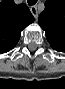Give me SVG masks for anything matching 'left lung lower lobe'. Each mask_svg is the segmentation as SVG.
<instances>
[{
  "instance_id": "left-lung-lower-lobe-1",
  "label": "left lung lower lobe",
  "mask_w": 65,
  "mask_h": 89,
  "mask_svg": "<svg viewBox=\"0 0 65 89\" xmlns=\"http://www.w3.org/2000/svg\"><path fill=\"white\" fill-rule=\"evenodd\" d=\"M57 51H59V52H65V51H61V50H57Z\"/></svg>"
}]
</instances>
